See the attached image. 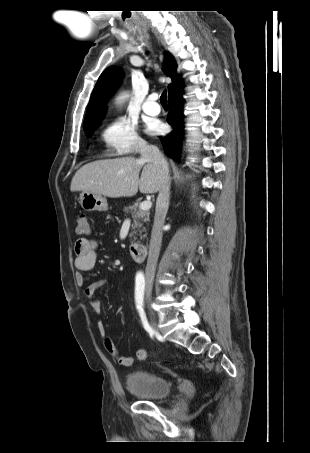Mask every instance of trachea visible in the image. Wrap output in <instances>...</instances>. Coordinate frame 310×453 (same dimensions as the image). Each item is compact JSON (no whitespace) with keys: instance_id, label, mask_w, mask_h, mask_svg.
Listing matches in <instances>:
<instances>
[{"instance_id":"obj_1","label":"trachea","mask_w":310,"mask_h":453,"mask_svg":"<svg viewBox=\"0 0 310 453\" xmlns=\"http://www.w3.org/2000/svg\"><path fill=\"white\" fill-rule=\"evenodd\" d=\"M166 90L163 91V93L160 96V102L162 105H167V98H166Z\"/></svg>"}]
</instances>
